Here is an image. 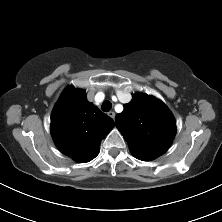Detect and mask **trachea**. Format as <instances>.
<instances>
[{
  "label": "trachea",
  "mask_w": 222,
  "mask_h": 222,
  "mask_svg": "<svg viewBox=\"0 0 222 222\" xmlns=\"http://www.w3.org/2000/svg\"><path fill=\"white\" fill-rule=\"evenodd\" d=\"M101 108H102V110H103L104 112H108V111L111 110L112 104H111L110 101H104V102L102 103Z\"/></svg>",
  "instance_id": "obj_1"
}]
</instances>
